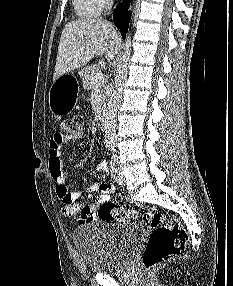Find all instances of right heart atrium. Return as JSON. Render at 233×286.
Returning a JSON list of instances; mask_svg holds the SVG:
<instances>
[{
	"mask_svg": "<svg viewBox=\"0 0 233 286\" xmlns=\"http://www.w3.org/2000/svg\"><path fill=\"white\" fill-rule=\"evenodd\" d=\"M105 2V4H107L110 0H103Z\"/></svg>",
	"mask_w": 233,
	"mask_h": 286,
	"instance_id": "right-heart-atrium-1",
	"label": "right heart atrium"
}]
</instances>
